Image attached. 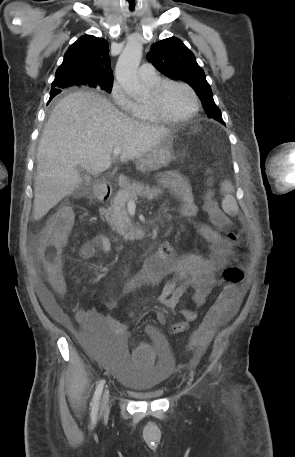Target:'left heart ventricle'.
<instances>
[{"label":"left heart ventricle","mask_w":295,"mask_h":457,"mask_svg":"<svg viewBox=\"0 0 295 457\" xmlns=\"http://www.w3.org/2000/svg\"><path fill=\"white\" fill-rule=\"evenodd\" d=\"M151 93L149 101L152 100ZM162 111L170 117H182L193 108V99L187 89L177 85L168 86L160 97Z\"/></svg>","instance_id":"b2bd125f"}]
</instances>
